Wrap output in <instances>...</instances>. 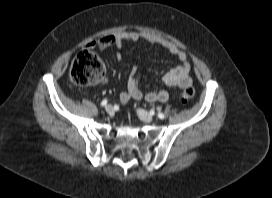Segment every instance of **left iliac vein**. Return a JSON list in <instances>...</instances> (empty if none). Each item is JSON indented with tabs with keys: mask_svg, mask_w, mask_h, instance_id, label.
Returning a JSON list of instances; mask_svg holds the SVG:
<instances>
[{
	"mask_svg": "<svg viewBox=\"0 0 272 198\" xmlns=\"http://www.w3.org/2000/svg\"><path fill=\"white\" fill-rule=\"evenodd\" d=\"M137 115L139 116V118L142 121L147 122V123H149L153 120L152 115L149 112H147L146 110L141 109V108L137 109Z\"/></svg>",
	"mask_w": 272,
	"mask_h": 198,
	"instance_id": "1",
	"label": "left iliac vein"
}]
</instances>
